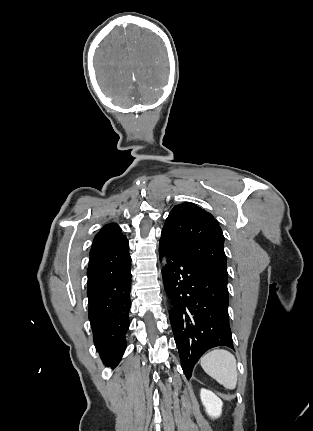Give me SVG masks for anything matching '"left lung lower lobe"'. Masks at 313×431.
Wrapping results in <instances>:
<instances>
[{"mask_svg":"<svg viewBox=\"0 0 313 431\" xmlns=\"http://www.w3.org/2000/svg\"><path fill=\"white\" fill-rule=\"evenodd\" d=\"M167 254L162 271L174 311L170 314L181 366L187 379L199 358L210 348L234 349L228 316L227 280L186 259L160 239V259Z\"/></svg>","mask_w":313,"mask_h":431,"instance_id":"obj_1","label":"left lung lower lobe"}]
</instances>
